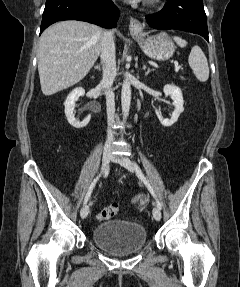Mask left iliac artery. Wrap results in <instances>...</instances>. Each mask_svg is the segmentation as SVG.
Returning <instances> with one entry per match:
<instances>
[{"label": "left iliac artery", "instance_id": "left-iliac-artery-1", "mask_svg": "<svg viewBox=\"0 0 240 287\" xmlns=\"http://www.w3.org/2000/svg\"><path fill=\"white\" fill-rule=\"evenodd\" d=\"M134 167H135L137 176L144 182V184L146 185V187L148 188V190L151 192V194H152L153 197L155 198L157 207H158L159 209H162V204H161L160 201L157 199L156 194H155V192H154L152 186L150 185V183H149V181L147 180V178L143 175L141 169L139 168V166L137 165L136 162H134Z\"/></svg>", "mask_w": 240, "mask_h": 287}]
</instances>
